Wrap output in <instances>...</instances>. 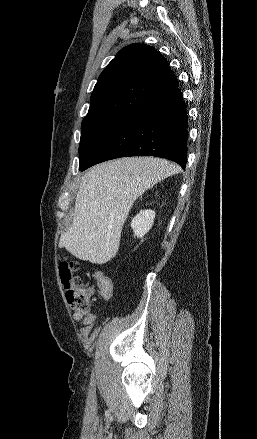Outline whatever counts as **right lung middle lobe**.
I'll return each instance as SVG.
<instances>
[{
  "instance_id": "1",
  "label": "right lung middle lobe",
  "mask_w": 257,
  "mask_h": 439,
  "mask_svg": "<svg viewBox=\"0 0 257 439\" xmlns=\"http://www.w3.org/2000/svg\"><path fill=\"white\" fill-rule=\"evenodd\" d=\"M126 118L120 115H94L83 119L79 146V169Z\"/></svg>"
}]
</instances>
